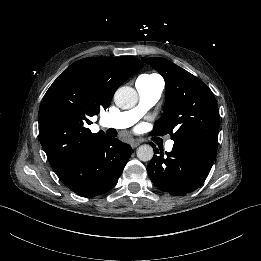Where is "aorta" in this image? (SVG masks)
<instances>
[{
	"label": "aorta",
	"instance_id": "1",
	"mask_svg": "<svg viewBox=\"0 0 261 261\" xmlns=\"http://www.w3.org/2000/svg\"><path fill=\"white\" fill-rule=\"evenodd\" d=\"M114 102L121 109H131L138 102V94L136 90L129 86H123L116 90L114 94ZM154 151L150 145H141L137 149V157L143 162L150 161L153 158Z\"/></svg>",
	"mask_w": 261,
	"mask_h": 261
}]
</instances>
